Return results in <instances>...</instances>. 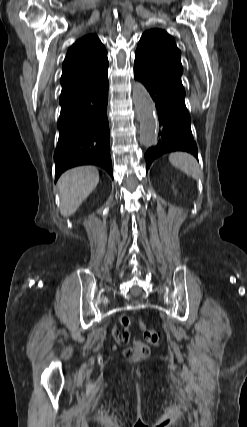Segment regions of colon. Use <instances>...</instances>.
Masks as SVG:
<instances>
[{
    "label": "colon",
    "instance_id": "colon-1",
    "mask_svg": "<svg viewBox=\"0 0 247 427\" xmlns=\"http://www.w3.org/2000/svg\"><path fill=\"white\" fill-rule=\"evenodd\" d=\"M140 327L143 331V336L147 343L151 345H157L159 343L160 334L156 330L146 328L143 323H140ZM149 353L150 348L148 344L141 341H135L130 347L125 350V355L127 357L143 358L146 357Z\"/></svg>",
    "mask_w": 247,
    "mask_h": 427
}]
</instances>
